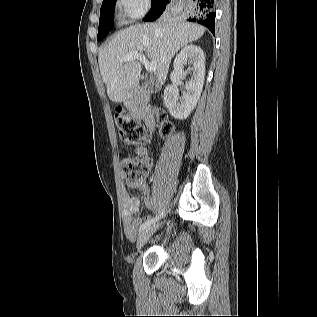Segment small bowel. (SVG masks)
I'll return each mask as SVG.
<instances>
[{"instance_id": "1", "label": "small bowel", "mask_w": 317, "mask_h": 317, "mask_svg": "<svg viewBox=\"0 0 317 317\" xmlns=\"http://www.w3.org/2000/svg\"><path fill=\"white\" fill-rule=\"evenodd\" d=\"M127 183L132 187L138 188L142 192L147 206L152 209L153 201L150 197L149 187L146 181L142 179L136 183H130L128 181ZM125 200L126 204L124 209V233L128 238H134L137 233V229L142 222V218L134 219L133 216L139 210L141 202L139 198L129 197L127 193H125Z\"/></svg>"}]
</instances>
